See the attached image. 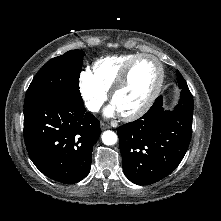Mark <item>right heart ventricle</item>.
<instances>
[{
	"instance_id": "e07e8e85",
	"label": "right heart ventricle",
	"mask_w": 221,
	"mask_h": 221,
	"mask_svg": "<svg viewBox=\"0 0 221 221\" xmlns=\"http://www.w3.org/2000/svg\"><path fill=\"white\" fill-rule=\"evenodd\" d=\"M138 53L107 56L95 61L91 74L95 81L106 91H110L124 66Z\"/></svg>"
}]
</instances>
